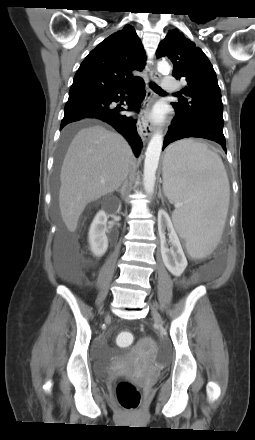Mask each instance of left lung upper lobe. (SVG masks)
<instances>
[{
  "label": "left lung upper lobe",
  "instance_id": "5c2ea615",
  "mask_svg": "<svg viewBox=\"0 0 255 440\" xmlns=\"http://www.w3.org/2000/svg\"><path fill=\"white\" fill-rule=\"evenodd\" d=\"M156 55L157 58L167 56L173 62L172 75L187 81L181 91L184 97L172 103L176 114L223 121V103L215 71L207 56L194 42L173 29L160 42Z\"/></svg>",
  "mask_w": 255,
  "mask_h": 440
}]
</instances>
